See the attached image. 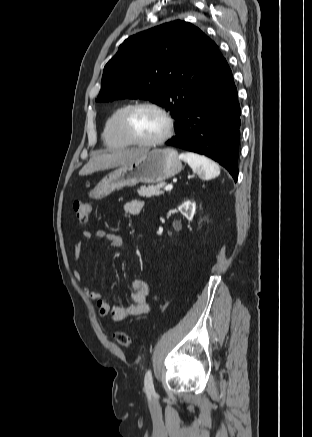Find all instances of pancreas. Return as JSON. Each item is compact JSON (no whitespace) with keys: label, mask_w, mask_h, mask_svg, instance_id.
Returning a JSON list of instances; mask_svg holds the SVG:
<instances>
[{"label":"pancreas","mask_w":312,"mask_h":437,"mask_svg":"<svg viewBox=\"0 0 312 437\" xmlns=\"http://www.w3.org/2000/svg\"><path fill=\"white\" fill-rule=\"evenodd\" d=\"M163 186H164V183H160L157 185H151V186H147V187L141 186L138 189V194L140 196L147 197V198H150L153 196H159V195L163 194V191L160 190Z\"/></svg>","instance_id":"obj_1"}]
</instances>
